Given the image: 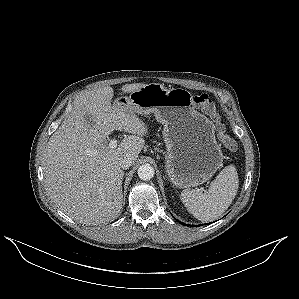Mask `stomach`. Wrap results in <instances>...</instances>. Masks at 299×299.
I'll return each mask as SVG.
<instances>
[{"label":"stomach","mask_w":299,"mask_h":299,"mask_svg":"<svg viewBox=\"0 0 299 299\" xmlns=\"http://www.w3.org/2000/svg\"><path fill=\"white\" fill-rule=\"evenodd\" d=\"M115 101L140 115L154 113L163 124L166 172L176 187L203 184L221 167L224 156L213 123L196 110L188 90L166 89L161 84L150 83Z\"/></svg>","instance_id":"1"}]
</instances>
